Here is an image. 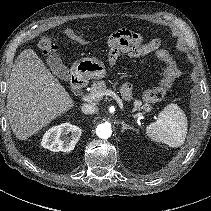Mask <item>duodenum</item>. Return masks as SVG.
<instances>
[{
	"label": "duodenum",
	"mask_w": 211,
	"mask_h": 211,
	"mask_svg": "<svg viewBox=\"0 0 211 211\" xmlns=\"http://www.w3.org/2000/svg\"><path fill=\"white\" fill-rule=\"evenodd\" d=\"M84 87V80L80 73L73 72L71 75V89L74 93H78Z\"/></svg>",
	"instance_id": "410a0bca"
}]
</instances>
